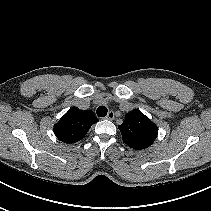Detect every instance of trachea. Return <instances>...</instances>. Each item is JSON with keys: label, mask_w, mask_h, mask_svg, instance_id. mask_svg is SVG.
Listing matches in <instances>:
<instances>
[{"label": "trachea", "mask_w": 211, "mask_h": 211, "mask_svg": "<svg viewBox=\"0 0 211 211\" xmlns=\"http://www.w3.org/2000/svg\"><path fill=\"white\" fill-rule=\"evenodd\" d=\"M107 112H108V110H107V108H106L105 106H100V107H98V108H97V111H96V113H97V115H98L99 117H104V116H106Z\"/></svg>", "instance_id": "obj_1"}]
</instances>
